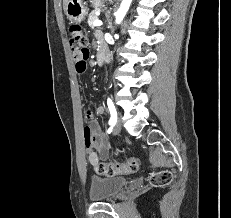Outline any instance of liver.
Segmentation results:
<instances>
[{"label": "liver", "instance_id": "obj_1", "mask_svg": "<svg viewBox=\"0 0 231 218\" xmlns=\"http://www.w3.org/2000/svg\"><path fill=\"white\" fill-rule=\"evenodd\" d=\"M69 0H63V9L64 11L66 10V5L68 3Z\"/></svg>", "mask_w": 231, "mask_h": 218}]
</instances>
